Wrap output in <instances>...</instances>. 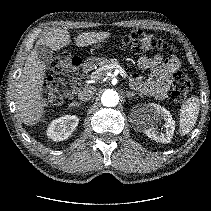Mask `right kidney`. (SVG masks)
<instances>
[{
	"mask_svg": "<svg viewBox=\"0 0 211 211\" xmlns=\"http://www.w3.org/2000/svg\"><path fill=\"white\" fill-rule=\"evenodd\" d=\"M79 119L75 115H65L53 120L47 128V136L53 141L67 139L78 126Z\"/></svg>",
	"mask_w": 211,
	"mask_h": 211,
	"instance_id": "right-kidney-1",
	"label": "right kidney"
}]
</instances>
